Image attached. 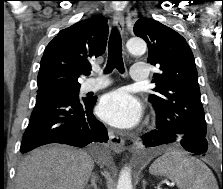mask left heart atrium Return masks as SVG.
I'll use <instances>...</instances> for the list:
<instances>
[{
	"mask_svg": "<svg viewBox=\"0 0 223 189\" xmlns=\"http://www.w3.org/2000/svg\"><path fill=\"white\" fill-rule=\"evenodd\" d=\"M97 113L105 122L119 128L133 127L140 119L139 101L124 89L105 94L97 108Z\"/></svg>",
	"mask_w": 223,
	"mask_h": 189,
	"instance_id": "1",
	"label": "left heart atrium"
}]
</instances>
